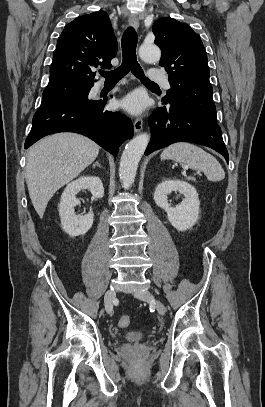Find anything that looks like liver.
I'll return each instance as SVG.
<instances>
[{"mask_svg": "<svg viewBox=\"0 0 265 407\" xmlns=\"http://www.w3.org/2000/svg\"><path fill=\"white\" fill-rule=\"evenodd\" d=\"M99 146L76 133H56L34 144L27 154L25 179L31 202L43 217L48 202L98 156Z\"/></svg>", "mask_w": 265, "mask_h": 407, "instance_id": "obj_1", "label": "liver"}]
</instances>
